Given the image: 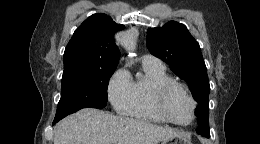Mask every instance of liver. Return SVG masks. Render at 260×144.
Instances as JSON below:
<instances>
[{
	"mask_svg": "<svg viewBox=\"0 0 260 144\" xmlns=\"http://www.w3.org/2000/svg\"><path fill=\"white\" fill-rule=\"evenodd\" d=\"M178 135L169 127L86 108L57 124L54 144H158Z\"/></svg>",
	"mask_w": 260,
	"mask_h": 144,
	"instance_id": "6515ba94",
	"label": "liver"
}]
</instances>
